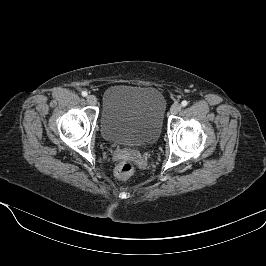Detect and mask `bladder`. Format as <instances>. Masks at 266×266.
<instances>
[{"label":"bladder","mask_w":266,"mask_h":266,"mask_svg":"<svg viewBox=\"0 0 266 266\" xmlns=\"http://www.w3.org/2000/svg\"><path fill=\"white\" fill-rule=\"evenodd\" d=\"M165 111L166 100L158 89L113 85L102 98V136L116 144H153L160 137Z\"/></svg>","instance_id":"bladder-1"}]
</instances>
